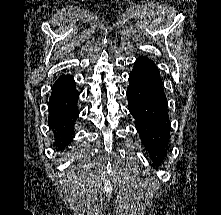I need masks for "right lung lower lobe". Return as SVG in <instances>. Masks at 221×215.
<instances>
[{
  "label": "right lung lower lobe",
  "mask_w": 221,
  "mask_h": 215,
  "mask_svg": "<svg viewBox=\"0 0 221 215\" xmlns=\"http://www.w3.org/2000/svg\"><path fill=\"white\" fill-rule=\"evenodd\" d=\"M79 93L75 89L73 77L62 75L52 87L50 97L49 122L56 132L59 147L64 146L72 137L73 124L79 114L77 100Z\"/></svg>",
  "instance_id": "right-lung-lower-lobe-1"
}]
</instances>
